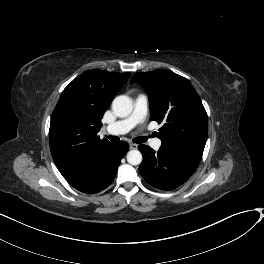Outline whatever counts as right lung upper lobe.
<instances>
[{
    "instance_id": "cb5924a9",
    "label": "right lung upper lobe",
    "mask_w": 264,
    "mask_h": 264,
    "mask_svg": "<svg viewBox=\"0 0 264 264\" xmlns=\"http://www.w3.org/2000/svg\"><path fill=\"white\" fill-rule=\"evenodd\" d=\"M129 76L91 70L63 90L52 113L49 142L54 162L65 179L88 168L112 143L101 140L97 132L103 114Z\"/></svg>"
}]
</instances>
